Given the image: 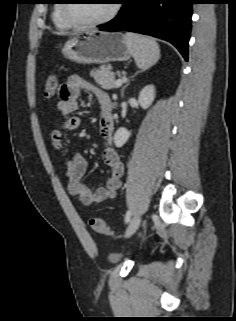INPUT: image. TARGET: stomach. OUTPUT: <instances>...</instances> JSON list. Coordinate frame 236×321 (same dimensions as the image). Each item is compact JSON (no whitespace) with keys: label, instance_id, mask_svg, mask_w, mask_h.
<instances>
[{"label":"stomach","instance_id":"0dacf381","mask_svg":"<svg viewBox=\"0 0 236 321\" xmlns=\"http://www.w3.org/2000/svg\"><path fill=\"white\" fill-rule=\"evenodd\" d=\"M62 54L80 64L127 61L132 56L123 34L99 31L76 33L65 43Z\"/></svg>","mask_w":236,"mask_h":321}]
</instances>
